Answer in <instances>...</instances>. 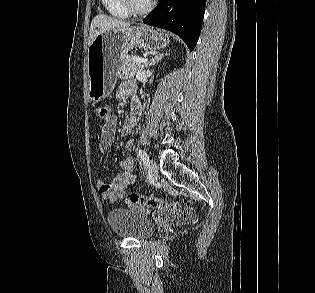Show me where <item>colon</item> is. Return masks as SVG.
Returning a JSON list of instances; mask_svg holds the SVG:
<instances>
[{
    "mask_svg": "<svg viewBox=\"0 0 315 293\" xmlns=\"http://www.w3.org/2000/svg\"><path fill=\"white\" fill-rule=\"evenodd\" d=\"M96 115L105 122L110 115V111L105 106H98L96 108ZM125 204L127 206L150 207L157 209L158 211H171L174 220L181 223L189 222L193 217V212L191 210H181L179 203L176 201L169 202L160 198L144 196L138 193L130 194L126 198Z\"/></svg>",
    "mask_w": 315,
    "mask_h": 293,
    "instance_id": "obj_1",
    "label": "colon"
}]
</instances>
